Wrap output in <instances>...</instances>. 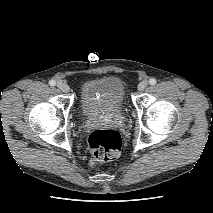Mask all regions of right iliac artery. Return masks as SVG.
Segmentation results:
<instances>
[{
    "label": "right iliac artery",
    "instance_id": "right-iliac-artery-1",
    "mask_svg": "<svg viewBox=\"0 0 213 213\" xmlns=\"http://www.w3.org/2000/svg\"><path fill=\"white\" fill-rule=\"evenodd\" d=\"M49 85H50V86H55V85H56L55 80H50V81H49Z\"/></svg>",
    "mask_w": 213,
    "mask_h": 213
}]
</instances>
